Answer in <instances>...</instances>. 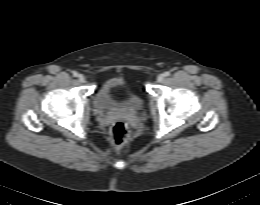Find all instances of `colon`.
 <instances>
[{
    "label": "colon",
    "instance_id": "obj_1",
    "mask_svg": "<svg viewBox=\"0 0 260 205\" xmlns=\"http://www.w3.org/2000/svg\"><path fill=\"white\" fill-rule=\"evenodd\" d=\"M129 130L126 123L118 121L112 124L109 130V141L114 148L122 147L127 141Z\"/></svg>",
    "mask_w": 260,
    "mask_h": 205
}]
</instances>
